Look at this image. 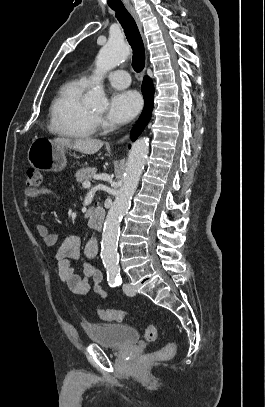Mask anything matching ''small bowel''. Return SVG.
<instances>
[{
  "label": "small bowel",
  "mask_w": 265,
  "mask_h": 407,
  "mask_svg": "<svg viewBox=\"0 0 265 407\" xmlns=\"http://www.w3.org/2000/svg\"><path fill=\"white\" fill-rule=\"evenodd\" d=\"M44 195L56 196L48 188L26 187L23 191V205L26 211L32 213V208L29 206L30 199ZM35 230L48 246L55 245L60 239L57 232L50 231L44 224H36ZM97 250V241L94 238L90 239L83 248L81 238L77 235H70L62 241L54 255L61 281L72 293L77 294L82 302H85L86 297L92 290L101 299L105 300L107 298V292L101 286L103 278L101 270L96 268L92 263L87 262L83 265V275L80 276L75 273L71 265L72 261H77L81 258L82 251L87 258L92 259L97 255Z\"/></svg>",
  "instance_id": "small-bowel-1"
}]
</instances>
